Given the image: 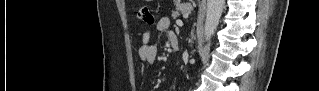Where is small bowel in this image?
I'll use <instances>...</instances> for the list:
<instances>
[{
  "mask_svg": "<svg viewBox=\"0 0 319 91\" xmlns=\"http://www.w3.org/2000/svg\"><path fill=\"white\" fill-rule=\"evenodd\" d=\"M170 28V20L167 17H162L158 20L156 24V31L161 32H168L169 38L173 35ZM158 55V48L155 44L151 43V33L145 32L142 37V44L139 47V57L143 63H154L157 59Z\"/></svg>",
  "mask_w": 319,
  "mask_h": 91,
  "instance_id": "small-bowel-1",
  "label": "small bowel"
}]
</instances>
